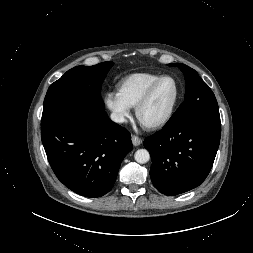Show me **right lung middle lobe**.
Listing matches in <instances>:
<instances>
[{"mask_svg": "<svg viewBox=\"0 0 253 253\" xmlns=\"http://www.w3.org/2000/svg\"><path fill=\"white\" fill-rule=\"evenodd\" d=\"M112 66L113 62H102L93 66H76L67 71L49 87L42 118L65 107L104 106L101 87Z\"/></svg>", "mask_w": 253, "mask_h": 253, "instance_id": "1", "label": "right lung middle lobe"}]
</instances>
